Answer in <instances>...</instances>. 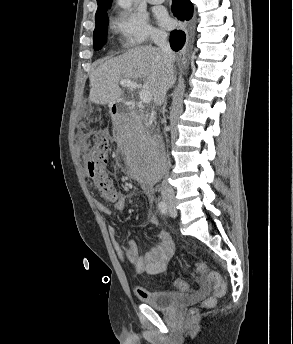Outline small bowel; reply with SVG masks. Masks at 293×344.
Wrapping results in <instances>:
<instances>
[{
  "mask_svg": "<svg viewBox=\"0 0 293 344\" xmlns=\"http://www.w3.org/2000/svg\"><path fill=\"white\" fill-rule=\"evenodd\" d=\"M89 143L90 139L87 135H79L78 144L81 150H86L89 147ZM125 206V198L123 196H119L114 203V208L117 210H123ZM97 208L104 215L110 216L112 214L111 208L103 203H98ZM149 223L157 226L159 224V220L155 215H152L149 218ZM108 232L118 257L129 263L137 272L146 273L151 276H158L166 271L175 251L174 243L167 232L161 231L159 233V242L151 246L144 255H140L138 246L133 240H130L125 248L122 247L117 240L116 227L112 225L109 226ZM178 288L182 291H187L188 286L184 283L182 287ZM210 289L211 286L204 282L193 297L200 298L202 295L210 291ZM136 294L138 297L142 298L145 294V290L143 288H137Z\"/></svg>",
  "mask_w": 293,
  "mask_h": 344,
  "instance_id": "obj_1",
  "label": "small bowel"
}]
</instances>
